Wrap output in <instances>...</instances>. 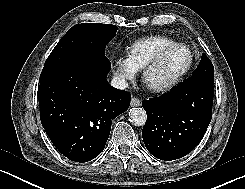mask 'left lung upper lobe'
I'll use <instances>...</instances> for the list:
<instances>
[{"label": "left lung upper lobe", "instance_id": "5c2ea615", "mask_svg": "<svg viewBox=\"0 0 245 189\" xmlns=\"http://www.w3.org/2000/svg\"><path fill=\"white\" fill-rule=\"evenodd\" d=\"M193 76H203L214 81V67L210 59L205 54H202L199 65L194 71L192 77Z\"/></svg>", "mask_w": 245, "mask_h": 189}]
</instances>
